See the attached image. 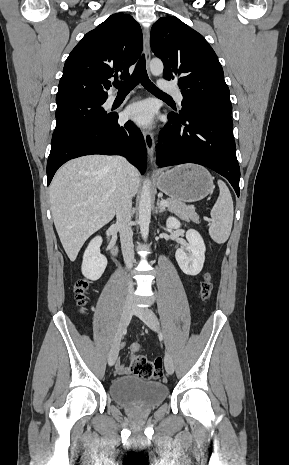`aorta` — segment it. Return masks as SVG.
Listing matches in <instances>:
<instances>
[{"mask_svg":"<svg viewBox=\"0 0 289 465\" xmlns=\"http://www.w3.org/2000/svg\"><path fill=\"white\" fill-rule=\"evenodd\" d=\"M164 66L160 59L154 58L150 62V71L154 76H160L163 73ZM151 195L150 182L146 179L143 183L140 202H139V225L142 238L147 239L149 234V223L151 219Z\"/></svg>","mask_w":289,"mask_h":465,"instance_id":"aorta-1","label":"aorta"}]
</instances>
